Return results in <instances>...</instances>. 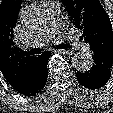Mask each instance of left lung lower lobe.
Instances as JSON below:
<instances>
[{
	"label": "left lung lower lobe",
	"instance_id": "obj_1",
	"mask_svg": "<svg viewBox=\"0 0 113 113\" xmlns=\"http://www.w3.org/2000/svg\"><path fill=\"white\" fill-rule=\"evenodd\" d=\"M92 57L94 58L92 68L84 73L78 72L76 76L81 85L95 90L104 86L110 79L113 56L104 52L93 51Z\"/></svg>",
	"mask_w": 113,
	"mask_h": 113
}]
</instances>
